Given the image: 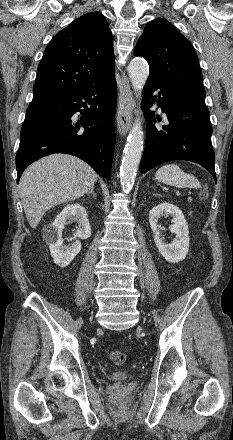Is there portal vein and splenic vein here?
I'll use <instances>...</instances> for the list:
<instances>
[{
    "label": "portal vein and splenic vein",
    "mask_w": 233,
    "mask_h": 440,
    "mask_svg": "<svg viewBox=\"0 0 233 440\" xmlns=\"http://www.w3.org/2000/svg\"><path fill=\"white\" fill-rule=\"evenodd\" d=\"M176 193H177V195H179V194H180V191H176Z\"/></svg>",
    "instance_id": "18ae733b"
}]
</instances>
